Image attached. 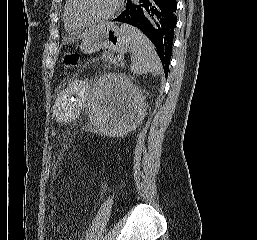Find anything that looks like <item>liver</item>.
I'll list each match as a JSON object with an SVG mask.
<instances>
[{
  "mask_svg": "<svg viewBox=\"0 0 257 240\" xmlns=\"http://www.w3.org/2000/svg\"><path fill=\"white\" fill-rule=\"evenodd\" d=\"M85 36H86V34L82 35L81 37H85Z\"/></svg>",
  "mask_w": 257,
  "mask_h": 240,
  "instance_id": "liver-1",
  "label": "liver"
}]
</instances>
